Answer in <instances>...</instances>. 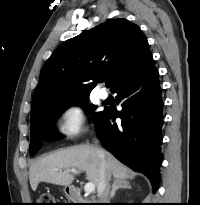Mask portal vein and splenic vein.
I'll use <instances>...</instances> for the list:
<instances>
[{
	"label": "portal vein and splenic vein",
	"instance_id": "obj_1",
	"mask_svg": "<svg viewBox=\"0 0 200 205\" xmlns=\"http://www.w3.org/2000/svg\"><path fill=\"white\" fill-rule=\"evenodd\" d=\"M70 172L75 173V174H79V171H77L76 169H71ZM84 190L86 193L90 194L95 190V186L92 182H88L85 184Z\"/></svg>",
	"mask_w": 200,
	"mask_h": 205
}]
</instances>
